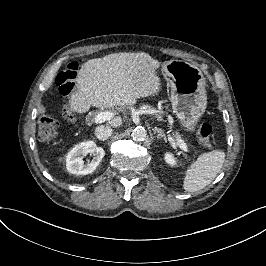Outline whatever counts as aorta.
Listing matches in <instances>:
<instances>
[{"mask_svg":"<svg viewBox=\"0 0 266 266\" xmlns=\"http://www.w3.org/2000/svg\"><path fill=\"white\" fill-rule=\"evenodd\" d=\"M131 137L134 141H144L147 137V131L142 126H137L133 129Z\"/></svg>","mask_w":266,"mask_h":266,"instance_id":"obj_1","label":"aorta"}]
</instances>
